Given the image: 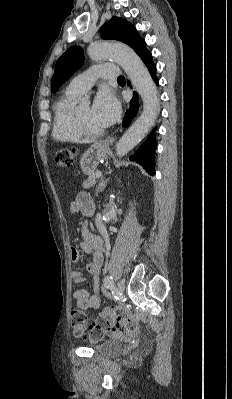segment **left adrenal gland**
Returning <instances> with one entry per match:
<instances>
[{
  "label": "left adrenal gland",
  "instance_id": "1",
  "mask_svg": "<svg viewBox=\"0 0 232 399\" xmlns=\"http://www.w3.org/2000/svg\"><path fill=\"white\" fill-rule=\"evenodd\" d=\"M107 186V180H104L103 176L101 178L100 184H98L96 188V196H98L99 192H103L104 188Z\"/></svg>",
  "mask_w": 232,
  "mask_h": 399
}]
</instances>
